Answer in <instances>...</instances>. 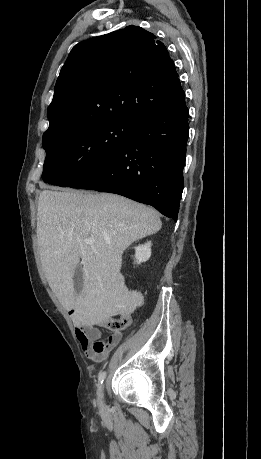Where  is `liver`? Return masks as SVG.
I'll use <instances>...</instances> for the list:
<instances>
[{
  "label": "liver",
  "instance_id": "liver-1",
  "mask_svg": "<svg viewBox=\"0 0 261 459\" xmlns=\"http://www.w3.org/2000/svg\"><path fill=\"white\" fill-rule=\"evenodd\" d=\"M157 213L120 195L77 190L40 193L37 243L52 291L66 310H75L80 325L107 322L125 311L131 298L120 274L122 255L133 242L157 233ZM93 238V244H86ZM83 266L80 294L74 272Z\"/></svg>",
  "mask_w": 261,
  "mask_h": 459
}]
</instances>
